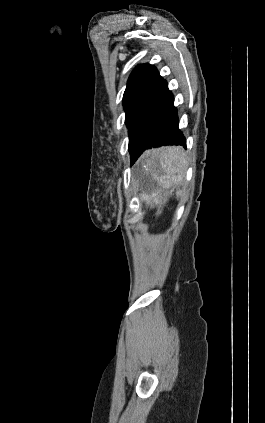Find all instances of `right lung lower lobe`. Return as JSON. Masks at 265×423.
Returning <instances> with one entry per match:
<instances>
[{
	"instance_id": "obj_1",
	"label": "right lung lower lobe",
	"mask_w": 265,
	"mask_h": 423,
	"mask_svg": "<svg viewBox=\"0 0 265 423\" xmlns=\"http://www.w3.org/2000/svg\"><path fill=\"white\" fill-rule=\"evenodd\" d=\"M178 125L179 119L173 95L168 89L167 82L162 80L147 96L129 127L131 164L145 149L151 147L163 145L186 147V140Z\"/></svg>"
}]
</instances>
